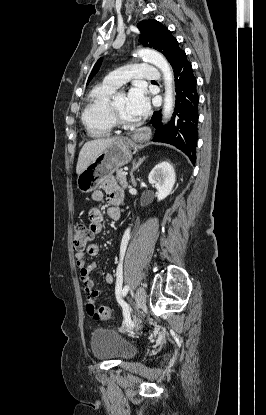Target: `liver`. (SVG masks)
I'll return each mask as SVG.
<instances>
[{"label": "liver", "mask_w": 266, "mask_h": 415, "mask_svg": "<svg viewBox=\"0 0 266 415\" xmlns=\"http://www.w3.org/2000/svg\"><path fill=\"white\" fill-rule=\"evenodd\" d=\"M118 139L120 138L114 137L107 139H95L86 142L79 153L76 166L77 175L82 173L108 145Z\"/></svg>", "instance_id": "obj_1"}]
</instances>
